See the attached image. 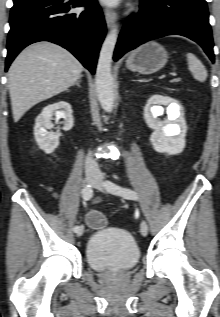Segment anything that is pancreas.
Masks as SVG:
<instances>
[{
	"label": "pancreas",
	"instance_id": "1",
	"mask_svg": "<svg viewBox=\"0 0 220 317\" xmlns=\"http://www.w3.org/2000/svg\"><path fill=\"white\" fill-rule=\"evenodd\" d=\"M179 81H180L179 79H175V80H174V82H179Z\"/></svg>",
	"mask_w": 220,
	"mask_h": 317
}]
</instances>
